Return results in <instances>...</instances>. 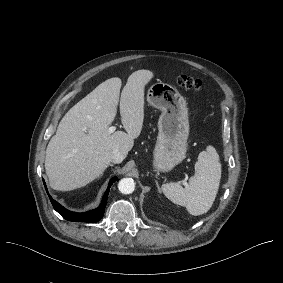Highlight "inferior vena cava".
<instances>
[{"instance_id":"1","label":"inferior vena cava","mask_w":283,"mask_h":283,"mask_svg":"<svg viewBox=\"0 0 283 283\" xmlns=\"http://www.w3.org/2000/svg\"><path fill=\"white\" fill-rule=\"evenodd\" d=\"M110 158L111 162L114 164H120L124 159L123 155L118 150L112 151L110 154Z\"/></svg>"}]
</instances>
